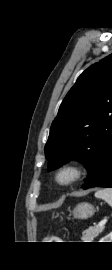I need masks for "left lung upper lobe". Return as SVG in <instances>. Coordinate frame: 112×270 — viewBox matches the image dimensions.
<instances>
[{
    "label": "left lung upper lobe",
    "instance_id": "5c2ea615",
    "mask_svg": "<svg viewBox=\"0 0 112 270\" xmlns=\"http://www.w3.org/2000/svg\"><path fill=\"white\" fill-rule=\"evenodd\" d=\"M111 145L112 54L87 68L60 105L44 149L48 169L78 158L89 171V181Z\"/></svg>",
    "mask_w": 112,
    "mask_h": 270
}]
</instances>
